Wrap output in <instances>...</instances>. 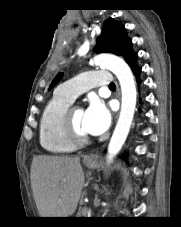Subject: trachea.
<instances>
[{
    "instance_id": "trachea-1",
    "label": "trachea",
    "mask_w": 181,
    "mask_h": 227,
    "mask_svg": "<svg viewBox=\"0 0 181 227\" xmlns=\"http://www.w3.org/2000/svg\"><path fill=\"white\" fill-rule=\"evenodd\" d=\"M116 86H115V84L114 83H111L110 85H109V88H115Z\"/></svg>"
}]
</instances>
